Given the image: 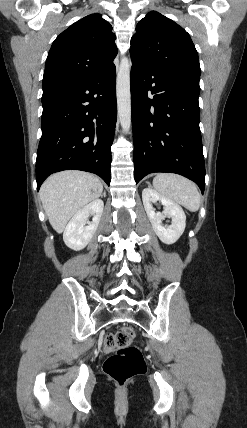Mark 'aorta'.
I'll list each match as a JSON object with an SVG mask.
<instances>
[{
    "label": "aorta",
    "instance_id": "aorta-1",
    "mask_svg": "<svg viewBox=\"0 0 247 428\" xmlns=\"http://www.w3.org/2000/svg\"><path fill=\"white\" fill-rule=\"evenodd\" d=\"M130 69V61L122 59L117 74L116 92L118 116L124 131H128L131 126Z\"/></svg>",
    "mask_w": 247,
    "mask_h": 428
}]
</instances>
